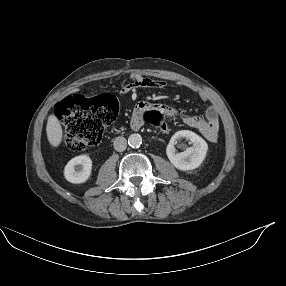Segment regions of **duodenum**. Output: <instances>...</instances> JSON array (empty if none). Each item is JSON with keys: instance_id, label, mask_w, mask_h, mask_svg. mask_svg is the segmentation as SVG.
I'll use <instances>...</instances> for the list:
<instances>
[{"instance_id": "1", "label": "duodenum", "mask_w": 286, "mask_h": 286, "mask_svg": "<svg viewBox=\"0 0 286 286\" xmlns=\"http://www.w3.org/2000/svg\"><path fill=\"white\" fill-rule=\"evenodd\" d=\"M142 124H143V121H142V119L139 116L133 118L131 120V123H130L131 128L133 130H138L142 126Z\"/></svg>"}]
</instances>
